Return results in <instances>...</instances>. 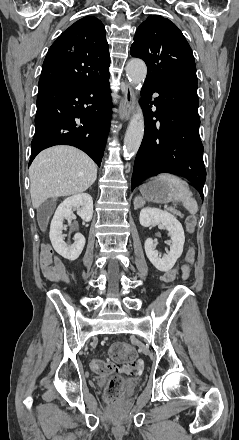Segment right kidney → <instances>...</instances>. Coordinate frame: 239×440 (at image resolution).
<instances>
[{
	"mask_svg": "<svg viewBox=\"0 0 239 440\" xmlns=\"http://www.w3.org/2000/svg\"><path fill=\"white\" fill-rule=\"evenodd\" d=\"M73 208L80 210L79 216H81L84 222H91L93 216V200L89 194H75L66 198L60 206H58L53 220L50 224V240L53 242V247L56 253H60L61 257L69 260L72 257V262L79 258L84 246L85 238L82 234H75L73 240L74 244H65L64 236H62L63 222L65 218H72Z\"/></svg>",
	"mask_w": 239,
	"mask_h": 440,
	"instance_id": "right-kidney-1",
	"label": "right kidney"
}]
</instances>
